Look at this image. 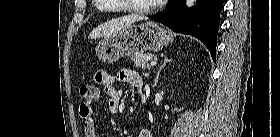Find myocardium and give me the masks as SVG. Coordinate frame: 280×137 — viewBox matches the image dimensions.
<instances>
[{
    "instance_id": "obj_1",
    "label": "myocardium",
    "mask_w": 280,
    "mask_h": 137,
    "mask_svg": "<svg viewBox=\"0 0 280 137\" xmlns=\"http://www.w3.org/2000/svg\"><path fill=\"white\" fill-rule=\"evenodd\" d=\"M124 7L131 12H136V13H141V14H148V13H152L155 10H157V8L159 7V4H154L148 8H139L130 4H125Z\"/></svg>"
}]
</instances>
